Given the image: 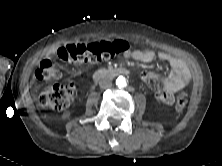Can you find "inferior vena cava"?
<instances>
[{"instance_id":"1","label":"inferior vena cava","mask_w":222,"mask_h":166,"mask_svg":"<svg viewBox=\"0 0 222 166\" xmlns=\"http://www.w3.org/2000/svg\"><path fill=\"white\" fill-rule=\"evenodd\" d=\"M99 86L104 89L110 88L112 86V81L108 78H103L99 81Z\"/></svg>"}]
</instances>
